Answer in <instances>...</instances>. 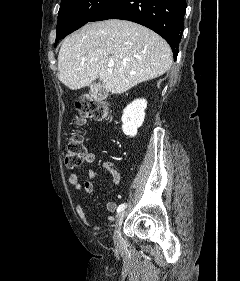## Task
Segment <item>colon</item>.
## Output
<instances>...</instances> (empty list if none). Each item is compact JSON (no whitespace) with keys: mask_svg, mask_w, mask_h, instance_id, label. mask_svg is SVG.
Instances as JSON below:
<instances>
[{"mask_svg":"<svg viewBox=\"0 0 240 281\" xmlns=\"http://www.w3.org/2000/svg\"><path fill=\"white\" fill-rule=\"evenodd\" d=\"M77 111L76 121L83 124L86 120H103L109 115V104L103 100L87 99L77 101L75 104ZM87 155V149L84 144L83 136L79 130H76L65 149V164L69 168L81 166Z\"/></svg>","mask_w":240,"mask_h":281,"instance_id":"colon-1","label":"colon"}]
</instances>
